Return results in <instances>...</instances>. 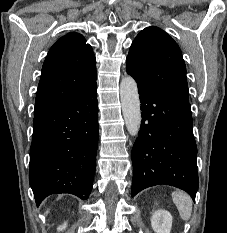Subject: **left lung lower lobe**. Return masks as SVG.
<instances>
[{
  "label": "left lung lower lobe",
  "mask_w": 227,
  "mask_h": 233,
  "mask_svg": "<svg viewBox=\"0 0 227 233\" xmlns=\"http://www.w3.org/2000/svg\"><path fill=\"white\" fill-rule=\"evenodd\" d=\"M142 121L132 149V196L167 184L195 200L198 190L197 147L189 102L138 83Z\"/></svg>",
  "instance_id": "1"
}]
</instances>
